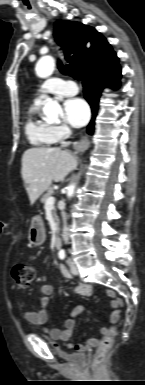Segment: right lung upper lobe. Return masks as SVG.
Returning a JSON list of instances; mask_svg holds the SVG:
<instances>
[{"instance_id": "cb5924a9", "label": "right lung upper lobe", "mask_w": 145, "mask_h": 385, "mask_svg": "<svg viewBox=\"0 0 145 385\" xmlns=\"http://www.w3.org/2000/svg\"><path fill=\"white\" fill-rule=\"evenodd\" d=\"M54 36L63 47L66 59L78 69L81 76L118 62L107 40L90 26L58 20L55 22ZM59 67L62 70L61 63Z\"/></svg>"}]
</instances>
